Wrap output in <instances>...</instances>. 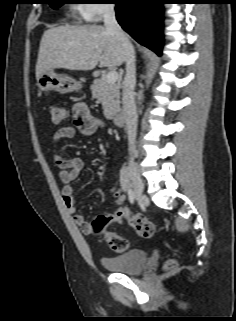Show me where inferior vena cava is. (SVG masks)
Segmentation results:
<instances>
[{"instance_id":"obj_1","label":"inferior vena cava","mask_w":236,"mask_h":321,"mask_svg":"<svg viewBox=\"0 0 236 321\" xmlns=\"http://www.w3.org/2000/svg\"><path fill=\"white\" fill-rule=\"evenodd\" d=\"M104 25L107 31L113 33L121 42L126 53V73L123 80L122 102L127 128L129 152L132 154L135 150L138 122L134 99V87L136 83L135 51L133 45L116 20L115 9L112 4L106 5L104 8Z\"/></svg>"}]
</instances>
